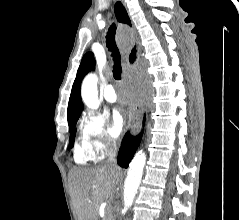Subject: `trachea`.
<instances>
[{
	"label": "trachea",
	"instance_id": "obj_1",
	"mask_svg": "<svg viewBox=\"0 0 239 220\" xmlns=\"http://www.w3.org/2000/svg\"><path fill=\"white\" fill-rule=\"evenodd\" d=\"M115 33H116V26L115 24H112L109 28V31L107 32L106 44L109 51L112 52V57L114 60L113 77L116 80H120L121 73H122L121 62H120L121 57H120V53L117 48V45L115 43Z\"/></svg>",
	"mask_w": 239,
	"mask_h": 220
}]
</instances>
